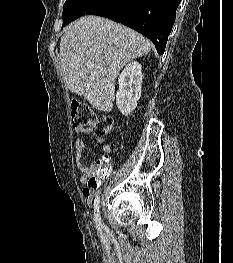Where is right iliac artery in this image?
<instances>
[{
  "instance_id": "right-iliac-artery-1",
  "label": "right iliac artery",
  "mask_w": 233,
  "mask_h": 263,
  "mask_svg": "<svg viewBox=\"0 0 233 263\" xmlns=\"http://www.w3.org/2000/svg\"><path fill=\"white\" fill-rule=\"evenodd\" d=\"M100 198L99 196H96L95 200H94V220L96 223L97 227L101 226V217L99 214V208H100Z\"/></svg>"
}]
</instances>
